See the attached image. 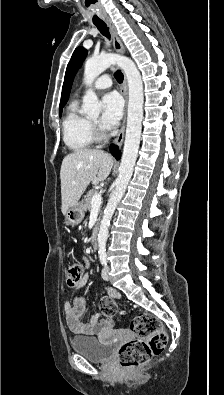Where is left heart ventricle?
I'll list each match as a JSON object with an SVG mask.
<instances>
[{"instance_id": "left-heart-ventricle-1", "label": "left heart ventricle", "mask_w": 224, "mask_h": 395, "mask_svg": "<svg viewBox=\"0 0 224 395\" xmlns=\"http://www.w3.org/2000/svg\"><path fill=\"white\" fill-rule=\"evenodd\" d=\"M93 120H94V121H96V120H97V118H93Z\"/></svg>"}]
</instances>
